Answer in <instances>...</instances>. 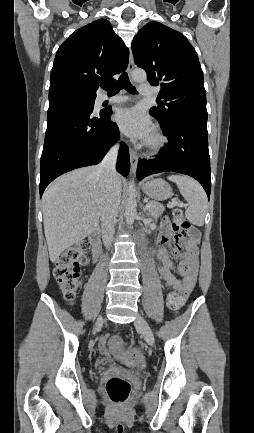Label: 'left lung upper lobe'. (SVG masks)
Returning <instances> with one entry per match:
<instances>
[{"instance_id": "obj_1", "label": "left lung upper lobe", "mask_w": 254, "mask_h": 433, "mask_svg": "<svg viewBox=\"0 0 254 433\" xmlns=\"http://www.w3.org/2000/svg\"><path fill=\"white\" fill-rule=\"evenodd\" d=\"M135 64L147 72L151 85H160L164 99L150 114L162 126L185 116L207 120L203 71L187 38L158 22H149L132 42Z\"/></svg>"}]
</instances>
